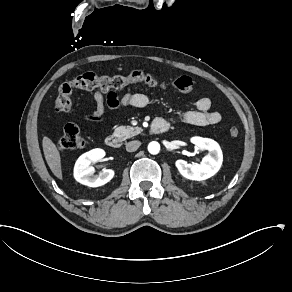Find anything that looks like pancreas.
Masks as SVG:
<instances>
[{
    "instance_id": "pancreas-1",
    "label": "pancreas",
    "mask_w": 292,
    "mask_h": 292,
    "mask_svg": "<svg viewBox=\"0 0 292 292\" xmlns=\"http://www.w3.org/2000/svg\"><path fill=\"white\" fill-rule=\"evenodd\" d=\"M142 132L140 127H131V126H119L114 131V136L118 137L121 140H126L133 136L138 135Z\"/></svg>"
}]
</instances>
